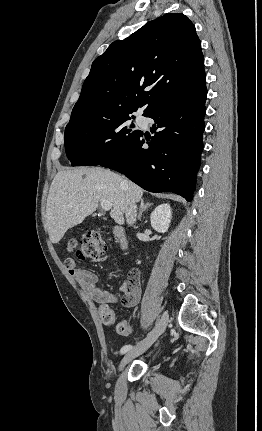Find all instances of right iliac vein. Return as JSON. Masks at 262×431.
Masks as SVG:
<instances>
[{
	"label": "right iliac vein",
	"instance_id": "1",
	"mask_svg": "<svg viewBox=\"0 0 262 431\" xmlns=\"http://www.w3.org/2000/svg\"><path fill=\"white\" fill-rule=\"evenodd\" d=\"M167 323L168 314L165 312L162 314L160 320L157 322L154 329L147 335V337L124 355L119 365V368L121 369L134 358L138 357L146 350H148L151 345L157 340V338L165 331Z\"/></svg>",
	"mask_w": 262,
	"mask_h": 431
}]
</instances>
